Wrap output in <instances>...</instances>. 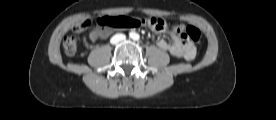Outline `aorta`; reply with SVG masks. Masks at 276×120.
Instances as JSON below:
<instances>
[{
    "label": "aorta",
    "mask_w": 276,
    "mask_h": 120,
    "mask_svg": "<svg viewBox=\"0 0 276 120\" xmlns=\"http://www.w3.org/2000/svg\"><path fill=\"white\" fill-rule=\"evenodd\" d=\"M130 37L133 39V40H138L139 39V35L137 33H130Z\"/></svg>",
    "instance_id": "obj_1"
}]
</instances>
